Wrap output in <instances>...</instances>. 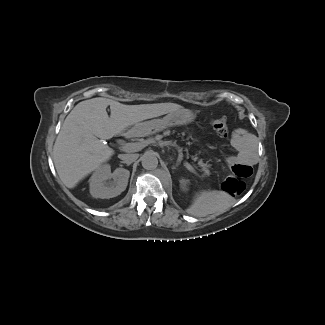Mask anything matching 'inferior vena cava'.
<instances>
[{"mask_svg": "<svg viewBox=\"0 0 325 325\" xmlns=\"http://www.w3.org/2000/svg\"><path fill=\"white\" fill-rule=\"evenodd\" d=\"M118 157L125 163H132L137 160L138 154H120Z\"/></svg>", "mask_w": 325, "mask_h": 325, "instance_id": "obj_1", "label": "inferior vena cava"}]
</instances>
